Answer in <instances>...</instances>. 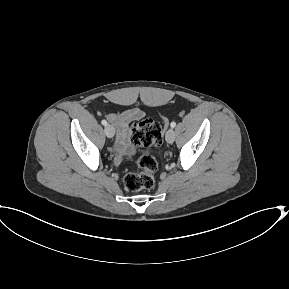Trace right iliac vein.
Segmentation results:
<instances>
[{
    "label": "right iliac vein",
    "instance_id": "right-iliac-vein-1",
    "mask_svg": "<svg viewBox=\"0 0 289 289\" xmlns=\"http://www.w3.org/2000/svg\"><path fill=\"white\" fill-rule=\"evenodd\" d=\"M104 131H105V134H106V136H107L108 138H112V137L114 136V134H115V129H114V127H113L112 125H110V124H108V125L105 126Z\"/></svg>",
    "mask_w": 289,
    "mask_h": 289
}]
</instances>
